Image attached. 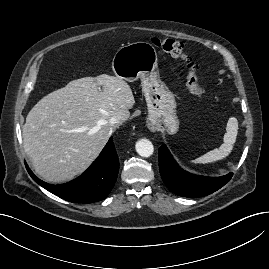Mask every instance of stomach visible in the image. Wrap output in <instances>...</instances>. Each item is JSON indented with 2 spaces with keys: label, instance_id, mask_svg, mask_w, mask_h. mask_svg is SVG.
Masks as SVG:
<instances>
[{
  "label": "stomach",
  "instance_id": "obj_1",
  "mask_svg": "<svg viewBox=\"0 0 269 269\" xmlns=\"http://www.w3.org/2000/svg\"><path fill=\"white\" fill-rule=\"evenodd\" d=\"M112 69L125 81L141 80L151 125H157L171 135L178 132L175 97L160 79L158 56L152 44L135 42L121 47L113 57Z\"/></svg>",
  "mask_w": 269,
  "mask_h": 269
}]
</instances>
